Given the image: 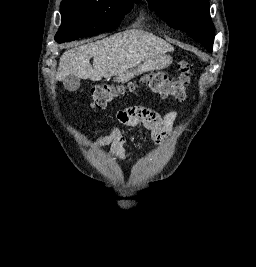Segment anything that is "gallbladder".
<instances>
[{"mask_svg": "<svg viewBox=\"0 0 256 267\" xmlns=\"http://www.w3.org/2000/svg\"><path fill=\"white\" fill-rule=\"evenodd\" d=\"M63 86L65 90H69V92H76V90L80 88V78L74 76V74H70V76H67V78L63 80Z\"/></svg>", "mask_w": 256, "mask_h": 267, "instance_id": "1", "label": "gallbladder"}]
</instances>
